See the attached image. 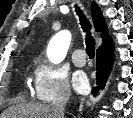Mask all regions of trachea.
I'll return each mask as SVG.
<instances>
[{
  "instance_id": "1",
  "label": "trachea",
  "mask_w": 133,
  "mask_h": 118,
  "mask_svg": "<svg viewBox=\"0 0 133 118\" xmlns=\"http://www.w3.org/2000/svg\"><path fill=\"white\" fill-rule=\"evenodd\" d=\"M77 15L80 19V24L83 31L86 33V53L90 58H94L95 56V40L91 36V24L89 23L86 16L80 10V8H76Z\"/></svg>"
}]
</instances>
